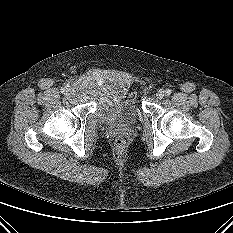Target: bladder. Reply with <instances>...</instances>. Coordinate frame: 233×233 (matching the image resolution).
<instances>
[{
  "label": "bladder",
  "instance_id": "bladder-1",
  "mask_svg": "<svg viewBox=\"0 0 233 233\" xmlns=\"http://www.w3.org/2000/svg\"><path fill=\"white\" fill-rule=\"evenodd\" d=\"M96 97V116L110 126L125 127L135 124L141 116L139 99L127 78L112 74L83 77L77 85Z\"/></svg>",
  "mask_w": 233,
  "mask_h": 233
}]
</instances>
